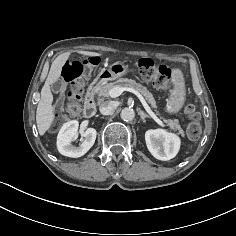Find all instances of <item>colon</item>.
<instances>
[{
  "label": "colon",
  "instance_id": "5ec220e1",
  "mask_svg": "<svg viewBox=\"0 0 236 236\" xmlns=\"http://www.w3.org/2000/svg\"><path fill=\"white\" fill-rule=\"evenodd\" d=\"M95 57L85 59H68L62 66V77L68 84L67 100L65 108L55 114L52 129H55L68 116H76L81 113V94L85 85L84 76L97 65ZM138 72L140 77L151 83L155 88L168 90L170 70L162 64H156L151 59H141L138 62ZM184 115L190 120L186 133L189 139L196 140L201 134V125L199 123V112L194 105H187L184 108Z\"/></svg>",
  "mask_w": 236,
  "mask_h": 236
}]
</instances>
